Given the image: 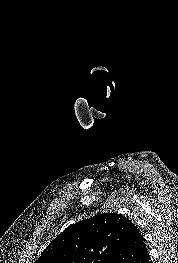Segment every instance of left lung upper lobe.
<instances>
[{"instance_id": "left-lung-upper-lobe-1", "label": "left lung upper lobe", "mask_w": 178, "mask_h": 263, "mask_svg": "<svg viewBox=\"0 0 178 263\" xmlns=\"http://www.w3.org/2000/svg\"><path fill=\"white\" fill-rule=\"evenodd\" d=\"M133 225L117 213H102L66 228L35 263H110Z\"/></svg>"}]
</instances>
